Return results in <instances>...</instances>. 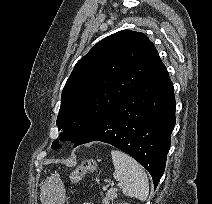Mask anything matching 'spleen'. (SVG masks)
I'll return each instance as SVG.
<instances>
[{"label":"spleen","instance_id":"spleen-1","mask_svg":"<svg viewBox=\"0 0 212 204\" xmlns=\"http://www.w3.org/2000/svg\"><path fill=\"white\" fill-rule=\"evenodd\" d=\"M114 178L122 184L125 195L146 201L149 194V182L143 167L129 155L112 150Z\"/></svg>","mask_w":212,"mask_h":204}]
</instances>
